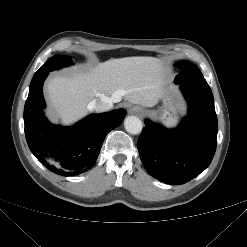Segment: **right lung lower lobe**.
I'll return each instance as SVG.
<instances>
[{
  "label": "right lung lower lobe",
  "instance_id": "obj_1",
  "mask_svg": "<svg viewBox=\"0 0 247 247\" xmlns=\"http://www.w3.org/2000/svg\"><path fill=\"white\" fill-rule=\"evenodd\" d=\"M48 73H35L24 108L25 135L36 158L50 171L78 175L91 169L106 135L120 125L126 111L93 114L72 127L52 125L44 116L42 86Z\"/></svg>",
  "mask_w": 247,
  "mask_h": 247
}]
</instances>
